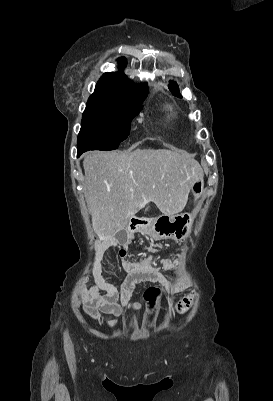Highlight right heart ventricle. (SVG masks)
I'll list each match as a JSON object with an SVG mask.
<instances>
[{
  "label": "right heart ventricle",
  "mask_w": 273,
  "mask_h": 401,
  "mask_svg": "<svg viewBox=\"0 0 273 401\" xmlns=\"http://www.w3.org/2000/svg\"><path fill=\"white\" fill-rule=\"evenodd\" d=\"M164 108L166 111L167 120L170 122L174 121L176 118V114H177L175 105H173L172 103H167V104H165Z\"/></svg>",
  "instance_id": "obj_1"
}]
</instances>
